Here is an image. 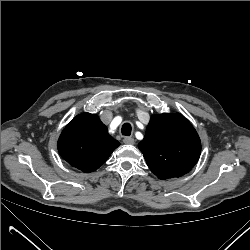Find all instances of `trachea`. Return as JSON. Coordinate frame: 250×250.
<instances>
[{"instance_id": "obj_1", "label": "trachea", "mask_w": 250, "mask_h": 250, "mask_svg": "<svg viewBox=\"0 0 250 250\" xmlns=\"http://www.w3.org/2000/svg\"><path fill=\"white\" fill-rule=\"evenodd\" d=\"M132 127L129 123H124L121 128V133L124 136H130Z\"/></svg>"}]
</instances>
